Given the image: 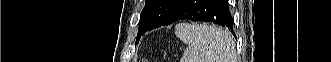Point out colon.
Wrapping results in <instances>:
<instances>
[{
    "mask_svg": "<svg viewBox=\"0 0 331 62\" xmlns=\"http://www.w3.org/2000/svg\"><path fill=\"white\" fill-rule=\"evenodd\" d=\"M140 62H147V61H146V60H144V59H141V60H140Z\"/></svg>",
    "mask_w": 331,
    "mask_h": 62,
    "instance_id": "1",
    "label": "colon"
}]
</instances>
